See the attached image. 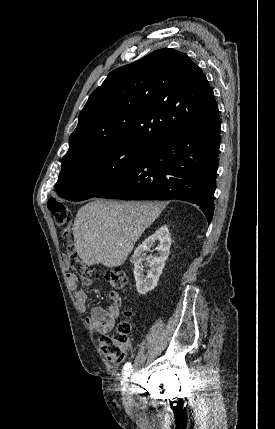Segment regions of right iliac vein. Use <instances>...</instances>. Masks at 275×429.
I'll return each mask as SVG.
<instances>
[{
	"label": "right iliac vein",
	"mask_w": 275,
	"mask_h": 429,
	"mask_svg": "<svg viewBox=\"0 0 275 429\" xmlns=\"http://www.w3.org/2000/svg\"><path fill=\"white\" fill-rule=\"evenodd\" d=\"M128 383H129V380H127V382H126L125 394H126V399H127V400H130V399H131V397L129 396V385H128Z\"/></svg>",
	"instance_id": "1"
}]
</instances>
